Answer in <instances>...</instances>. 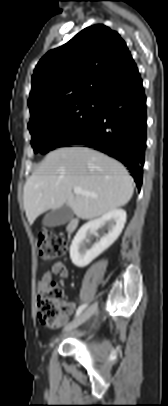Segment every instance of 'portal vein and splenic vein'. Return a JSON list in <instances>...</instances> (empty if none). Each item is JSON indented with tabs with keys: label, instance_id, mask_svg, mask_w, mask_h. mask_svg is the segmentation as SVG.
<instances>
[{
	"label": "portal vein and splenic vein",
	"instance_id": "1",
	"mask_svg": "<svg viewBox=\"0 0 168 406\" xmlns=\"http://www.w3.org/2000/svg\"><path fill=\"white\" fill-rule=\"evenodd\" d=\"M73 191H74L75 194H83L85 196L96 197L95 194H93L91 192L84 191L80 187H74Z\"/></svg>",
	"mask_w": 168,
	"mask_h": 406
}]
</instances>
